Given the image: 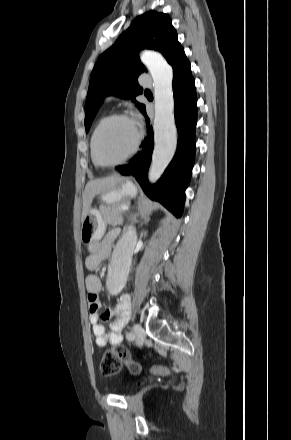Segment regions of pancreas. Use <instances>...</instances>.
Returning a JSON list of instances; mask_svg holds the SVG:
<instances>
[{
	"label": "pancreas",
	"instance_id": "1",
	"mask_svg": "<svg viewBox=\"0 0 291 440\" xmlns=\"http://www.w3.org/2000/svg\"><path fill=\"white\" fill-rule=\"evenodd\" d=\"M124 203H117L111 206L101 205L100 213L108 225H116L123 220V210L122 205Z\"/></svg>",
	"mask_w": 291,
	"mask_h": 440
}]
</instances>
